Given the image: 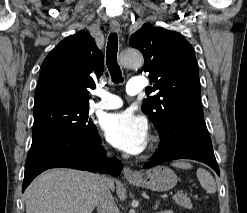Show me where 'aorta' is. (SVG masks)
I'll return each mask as SVG.
<instances>
[{
    "instance_id": "762f6f07",
    "label": "aorta",
    "mask_w": 247,
    "mask_h": 213,
    "mask_svg": "<svg viewBox=\"0 0 247 213\" xmlns=\"http://www.w3.org/2000/svg\"><path fill=\"white\" fill-rule=\"evenodd\" d=\"M143 61L141 53L135 49H126L121 53V63L124 67L139 68L143 65Z\"/></svg>"
}]
</instances>
